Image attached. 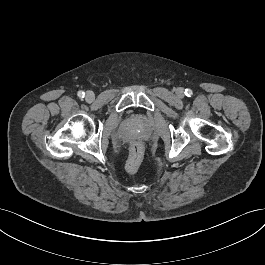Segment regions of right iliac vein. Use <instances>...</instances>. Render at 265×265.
<instances>
[{
  "instance_id": "right-iliac-vein-1",
  "label": "right iliac vein",
  "mask_w": 265,
  "mask_h": 265,
  "mask_svg": "<svg viewBox=\"0 0 265 265\" xmlns=\"http://www.w3.org/2000/svg\"><path fill=\"white\" fill-rule=\"evenodd\" d=\"M94 98H95V96H94L93 92L88 91L86 93L85 99H86L87 102H89V103L93 102Z\"/></svg>"
}]
</instances>
